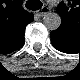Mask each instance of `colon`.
<instances>
[{"instance_id":"1","label":"colon","mask_w":80,"mask_h":80,"mask_svg":"<svg viewBox=\"0 0 80 80\" xmlns=\"http://www.w3.org/2000/svg\"><path fill=\"white\" fill-rule=\"evenodd\" d=\"M37 4H41L39 1H36Z\"/></svg>"}]
</instances>
